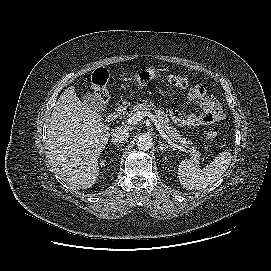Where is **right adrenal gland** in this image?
Instances as JSON below:
<instances>
[{"instance_id":"right-adrenal-gland-1","label":"right adrenal gland","mask_w":271,"mask_h":271,"mask_svg":"<svg viewBox=\"0 0 271 271\" xmlns=\"http://www.w3.org/2000/svg\"><path fill=\"white\" fill-rule=\"evenodd\" d=\"M115 146H121L120 144H118V143H116V142H114V141H111Z\"/></svg>"}]
</instances>
